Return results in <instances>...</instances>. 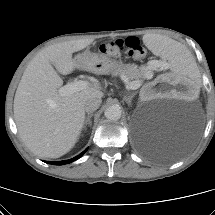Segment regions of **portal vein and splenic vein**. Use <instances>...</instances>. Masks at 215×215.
<instances>
[{
  "label": "portal vein and splenic vein",
  "mask_w": 215,
  "mask_h": 215,
  "mask_svg": "<svg viewBox=\"0 0 215 215\" xmlns=\"http://www.w3.org/2000/svg\"><path fill=\"white\" fill-rule=\"evenodd\" d=\"M167 64L165 63V66ZM123 77V76H122ZM125 80H127L124 77ZM89 83L87 81L83 80H74L73 82L67 83L66 85L59 88L58 92L61 96H67L76 92H79L81 90H84L88 88ZM141 86V83L137 82H126V88L128 90H136Z\"/></svg>",
  "instance_id": "obj_1"
}]
</instances>
